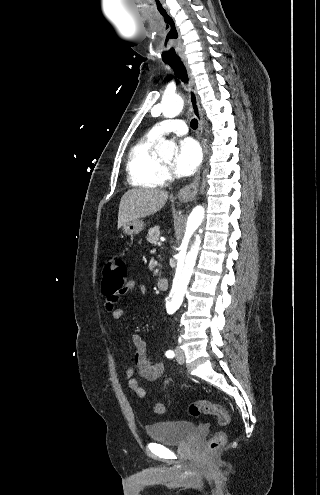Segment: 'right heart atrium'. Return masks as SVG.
I'll use <instances>...</instances> for the list:
<instances>
[{"label":"right heart atrium","instance_id":"right-heart-atrium-1","mask_svg":"<svg viewBox=\"0 0 320 495\" xmlns=\"http://www.w3.org/2000/svg\"><path fill=\"white\" fill-rule=\"evenodd\" d=\"M170 177L169 172L165 169H162L161 171V179L162 181L168 180Z\"/></svg>","mask_w":320,"mask_h":495}]
</instances>
